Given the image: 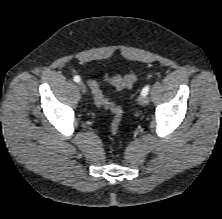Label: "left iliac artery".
Masks as SVG:
<instances>
[{"instance_id": "left-iliac-artery-1", "label": "left iliac artery", "mask_w": 222, "mask_h": 219, "mask_svg": "<svg viewBox=\"0 0 222 219\" xmlns=\"http://www.w3.org/2000/svg\"><path fill=\"white\" fill-rule=\"evenodd\" d=\"M148 92H149V86H145L141 91V95L146 96Z\"/></svg>"}]
</instances>
